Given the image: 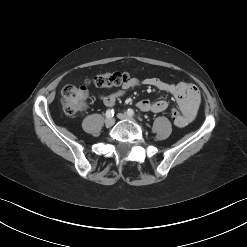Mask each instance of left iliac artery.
Masks as SVG:
<instances>
[{
	"label": "left iliac artery",
	"mask_w": 247,
	"mask_h": 247,
	"mask_svg": "<svg viewBox=\"0 0 247 247\" xmlns=\"http://www.w3.org/2000/svg\"><path fill=\"white\" fill-rule=\"evenodd\" d=\"M127 114L130 115V116H134L135 112L132 109H128L127 110Z\"/></svg>",
	"instance_id": "44dca946"
}]
</instances>
